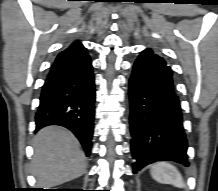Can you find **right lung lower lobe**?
Listing matches in <instances>:
<instances>
[{
  "instance_id": "98d812e1",
  "label": "right lung lower lobe",
  "mask_w": 218,
  "mask_h": 191,
  "mask_svg": "<svg viewBox=\"0 0 218 191\" xmlns=\"http://www.w3.org/2000/svg\"><path fill=\"white\" fill-rule=\"evenodd\" d=\"M91 58L80 42L60 52L42 87L36 130L60 125L71 130L87 156L91 153L95 116Z\"/></svg>"
}]
</instances>
